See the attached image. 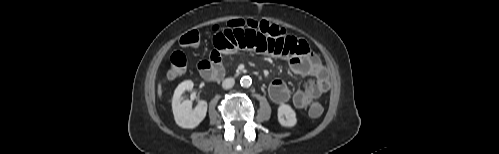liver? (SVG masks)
I'll list each match as a JSON object with an SVG mask.
<instances>
[{"mask_svg": "<svg viewBox=\"0 0 499 154\" xmlns=\"http://www.w3.org/2000/svg\"><path fill=\"white\" fill-rule=\"evenodd\" d=\"M158 97L161 99L162 98V84L159 82L158 84V90H157Z\"/></svg>", "mask_w": 499, "mask_h": 154, "instance_id": "liver-1", "label": "liver"}]
</instances>
